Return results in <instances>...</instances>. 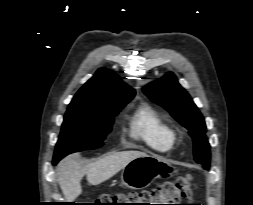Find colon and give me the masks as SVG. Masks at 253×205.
<instances>
[{"label": "colon", "instance_id": "1", "mask_svg": "<svg viewBox=\"0 0 253 205\" xmlns=\"http://www.w3.org/2000/svg\"><path fill=\"white\" fill-rule=\"evenodd\" d=\"M192 192V177L186 175L139 193L104 194L99 198V205H179Z\"/></svg>", "mask_w": 253, "mask_h": 205}]
</instances>
